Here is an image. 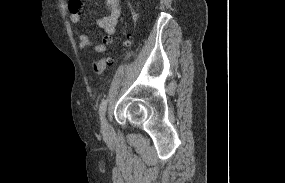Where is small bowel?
I'll use <instances>...</instances> for the list:
<instances>
[{
  "mask_svg": "<svg viewBox=\"0 0 285 183\" xmlns=\"http://www.w3.org/2000/svg\"><path fill=\"white\" fill-rule=\"evenodd\" d=\"M109 7V13L97 20V26L105 31V35L102 37L101 42H94L88 33H84L80 28L75 29V35L79 40V48L88 53V49L92 48L94 51L103 53L106 51L107 46L113 43L114 35L117 32L118 21L121 16V4L120 0H106ZM77 8L76 12L71 11V7ZM82 0H75L70 2V20L74 24L82 26V13H81Z\"/></svg>",
  "mask_w": 285,
  "mask_h": 183,
  "instance_id": "small-bowel-1",
  "label": "small bowel"
}]
</instances>
